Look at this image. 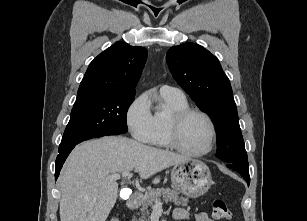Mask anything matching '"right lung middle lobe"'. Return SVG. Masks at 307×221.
Segmentation results:
<instances>
[{
	"label": "right lung middle lobe",
	"instance_id": "1",
	"mask_svg": "<svg viewBox=\"0 0 307 221\" xmlns=\"http://www.w3.org/2000/svg\"><path fill=\"white\" fill-rule=\"evenodd\" d=\"M135 93L106 94L74 103L58 151L105 135L127 132V110Z\"/></svg>",
	"mask_w": 307,
	"mask_h": 221
}]
</instances>
